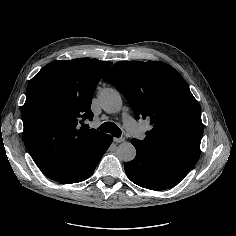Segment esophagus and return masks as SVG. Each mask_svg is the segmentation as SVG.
I'll return each instance as SVG.
<instances>
[{"instance_id": "esophagus-1", "label": "esophagus", "mask_w": 236, "mask_h": 236, "mask_svg": "<svg viewBox=\"0 0 236 236\" xmlns=\"http://www.w3.org/2000/svg\"><path fill=\"white\" fill-rule=\"evenodd\" d=\"M113 141L116 142V143H121V142L124 141V138L123 137H121V138L120 137L119 138L116 137V138H113Z\"/></svg>"}]
</instances>
